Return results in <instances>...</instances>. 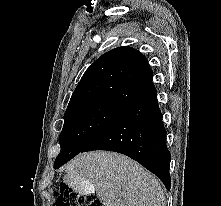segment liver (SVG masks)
Masks as SVG:
<instances>
[{"instance_id":"1","label":"liver","mask_w":221,"mask_h":206,"mask_svg":"<svg viewBox=\"0 0 221 206\" xmlns=\"http://www.w3.org/2000/svg\"><path fill=\"white\" fill-rule=\"evenodd\" d=\"M66 173L63 179L65 183L77 192L83 188V194L93 189L103 206L166 204L163 189L156 177L119 153L94 151L79 154L67 164Z\"/></svg>"}]
</instances>
